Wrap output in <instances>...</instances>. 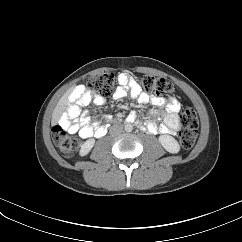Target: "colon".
<instances>
[{
	"label": "colon",
	"instance_id": "1",
	"mask_svg": "<svg viewBox=\"0 0 242 242\" xmlns=\"http://www.w3.org/2000/svg\"><path fill=\"white\" fill-rule=\"evenodd\" d=\"M140 82L147 92L153 93L158 97L168 96L174 90L172 84L163 78L144 75L140 77ZM87 87L99 94L110 95L115 88V77L112 73H103L90 79ZM180 121L182 125L180 131L181 144L184 148L190 149L195 143L199 125L195 109L191 106H186L180 116ZM53 131L54 141L62 155L66 157L73 156L80 146L79 139L61 124L56 125Z\"/></svg>",
	"mask_w": 242,
	"mask_h": 242
}]
</instances>
